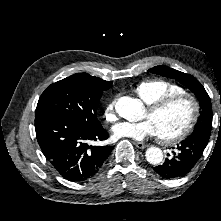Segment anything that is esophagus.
I'll return each instance as SVG.
<instances>
[{
	"label": "esophagus",
	"mask_w": 221,
	"mask_h": 221,
	"mask_svg": "<svg viewBox=\"0 0 221 221\" xmlns=\"http://www.w3.org/2000/svg\"><path fill=\"white\" fill-rule=\"evenodd\" d=\"M136 146L139 148V149H145L148 147L147 144H144L143 142H136Z\"/></svg>",
	"instance_id": "1"
}]
</instances>
